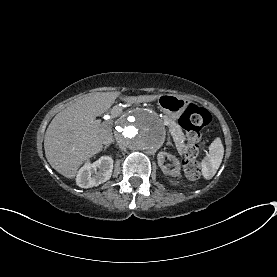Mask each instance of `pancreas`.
<instances>
[{"label": "pancreas", "mask_w": 277, "mask_h": 277, "mask_svg": "<svg viewBox=\"0 0 277 277\" xmlns=\"http://www.w3.org/2000/svg\"><path fill=\"white\" fill-rule=\"evenodd\" d=\"M167 129L173 136L174 146L177 149H182L185 146V141L181 138V135L183 134V127L180 124L170 123L168 124Z\"/></svg>", "instance_id": "1"}]
</instances>
